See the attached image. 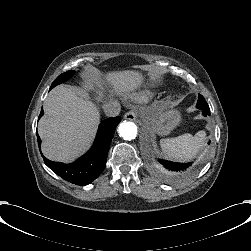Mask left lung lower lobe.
I'll return each mask as SVG.
<instances>
[{
	"mask_svg": "<svg viewBox=\"0 0 251 251\" xmlns=\"http://www.w3.org/2000/svg\"><path fill=\"white\" fill-rule=\"evenodd\" d=\"M199 109L202 110L204 116L210 115V109H202V108H199ZM159 163L162 164L164 168L167 169L169 172H173V175H170V174H166L159 171L160 174L167 179H174L177 177H181L182 174L180 173H184L192 165V163H175V162L164 161V160H159Z\"/></svg>",
	"mask_w": 251,
	"mask_h": 251,
	"instance_id": "left-lung-lower-lobe-1",
	"label": "left lung lower lobe"
}]
</instances>
